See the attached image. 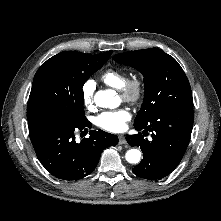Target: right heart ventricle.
I'll return each mask as SVG.
<instances>
[{
  "label": "right heart ventricle",
  "instance_id": "e07e8e85",
  "mask_svg": "<svg viewBox=\"0 0 221 221\" xmlns=\"http://www.w3.org/2000/svg\"><path fill=\"white\" fill-rule=\"evenodd\" d=\"M101 80L112 88L121 89L127 79L122 72L109 69L102 74Z\"/></svg>",
  "mask_w": 221,
  "mask_h": 221
}]
</instances>
